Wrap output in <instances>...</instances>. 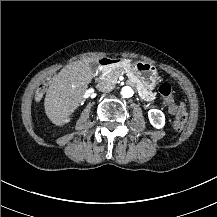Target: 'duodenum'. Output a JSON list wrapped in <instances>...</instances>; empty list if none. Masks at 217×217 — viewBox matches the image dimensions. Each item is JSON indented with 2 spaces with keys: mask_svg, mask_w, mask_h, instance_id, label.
Returning a JSON list of instances; mask_svg holds the SVG:
<instances>
[{
  "mask_svg": "<svg viewBox=\"0 0 217 217\" xmlns=\"http://www.w3.org/2000/svg\"><path fill=\"white\" fill-rule=\"evenodd\" d=\"M119 63V60L112 59V58H100L99 64L102 67H112L116 66Z\"/></svg>",
  "mask_w": 217,
  "mask_h": 217,
  "instance_id": "1",
  "label": "duodenum"
}]
</instances>
